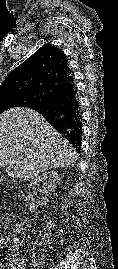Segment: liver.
<instances>
[{
    "label": "liver",
    "mask_w": 118,
    "mask_h": 269,
    "mask_svg": "<svg viewBox=\"0 0 118 269\" xmlns=\"http://www.w3.org/2000/svg\"><path fill=\"white\" fill-rule=\"evenodd\" d=\"M77 152L40 114L12 108L0 114V168L27 180L52 168H68Z\"/></svg>",
    "instance_id": "6515ba94"
}]
</instances>
